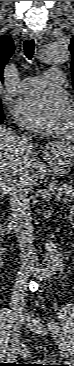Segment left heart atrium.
Wrapping results in <instances>:
<instances>
[{"mask_svg":"<svg viewBox=\"0 0 74 366\" xmlns=\"http://www.w3.org/2000/svg\"><path fill=\"white\" fill-rule=\"evenodd\" d=\"M15 119L30 129L42 132L62 131L70 114L66 97L58 91H48L20 99L13 108Z\"/></svg>","mask_w":74,"mask_h":366,"instance_id":"obj_1","label":"left heart atrium"}]
</instances>
